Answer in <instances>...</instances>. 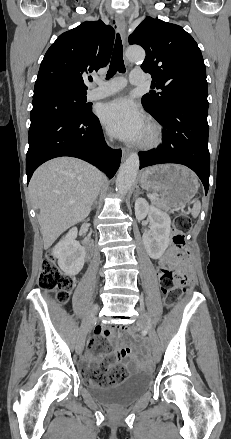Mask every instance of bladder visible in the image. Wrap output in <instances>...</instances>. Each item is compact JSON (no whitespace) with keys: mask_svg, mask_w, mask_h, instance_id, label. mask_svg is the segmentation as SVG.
<instances>
[{"mask_svg":"<svg viewBox=\"0 0 231 439\" xmlns=\"http://www.w3.org/2000/svg\"><path fill=\"white\" fill-rule=\"evenodd\" d=\"M87 370H89L88 367ZM83 374L87 375V371H84ZM151 382V374L138 373L127 377L123 382L117 385H90L89 392L95 400L104 405L122 407L131 404L142 395L151 385Z\"/></svg>","mask_w":231,"mask_h":439,"instance_id":"1","label":"bladder"}]
</instances>
